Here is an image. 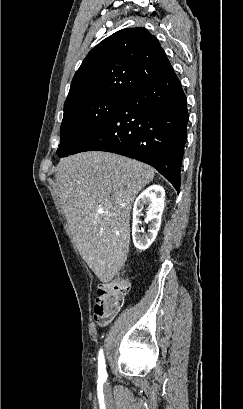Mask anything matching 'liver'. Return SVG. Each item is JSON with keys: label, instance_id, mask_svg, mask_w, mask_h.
I'll list each match as a JSON object with an SVG mask.
<instances>
[{"label": "liver", "instance_id": "6515ba94", "mask_svg": "<svg viewBox=\"0 0 243 409\" xmlns=\"http://www.w3.org/2000/svg\"><path fill=\"white\" fill-rule=\"evenodd\" d=\"M154 175L147 164L102 151L57 165L62 211L82 258L102 282L112 280L127 260L132 204Z\"/></svg>", "mask_w": 243, "mask_h": 409}]
</instances>
